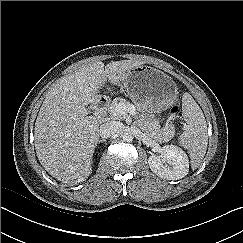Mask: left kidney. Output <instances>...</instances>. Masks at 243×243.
<instances>
[{"mask_svg":"<svg viewBox=\"0 0 243 243\" xmlns=\"http://www.w3.org/2000/svg\"><path fill=\"white\" fill-rule=\"evenodd\" d=\"M148 164L156 175L167 180L184 178L189 171L187 154L174 145H165L159 155L149 157Z\"/></svg>","mask_w":243,"mask_h":243,"instance_id":"1","label":"left kidney"}]
</instances>
